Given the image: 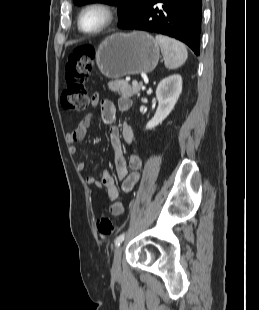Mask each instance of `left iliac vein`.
I'll use <instances>...</instances> for the list:
<instances>
[{"label":"left iliac vein","instance_id":"left-iliac-vein-1","mask_svg":"<svg viewBox=\"0 0 259 310\" xmlns=\"http://www.w3.org/2000/svg\"><path fill=\"white\" fill-rule=\"evenodd\" d=\"M122 251H123V247L118 246L114 252L113 264H112V269H111L112 274L118 275L121 272Z\"/></svg>","mask_w":259,"mask_h":310}]
</instances>
